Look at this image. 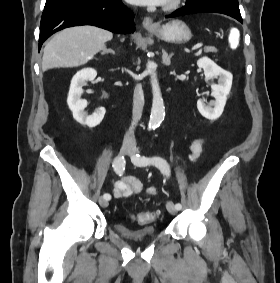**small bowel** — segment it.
Masks as SVG:
<instances>
[{
	"mask_svg": "<svg viewBox=\"0 0 280 283\" xmlns=\"http://www.w3.org/2000/svg\"><path fill=\"white\" fill-rule=\"evenodd\" d=\"M202 143L201 139H196L191 144V153L190 159L196 160L202 152ZM145 191L149 195H155L157 189L155 187H148L144 190L142 183L132 175H126L119 179L113 189V194L116 198H130L134 195H138Z\"/></svg>",
	"mask_w": 280,
	"mask_h": 283,
	"instance_id": "c3829d8e",
	"label": "small bowel"
}]
</instances>
